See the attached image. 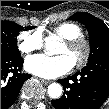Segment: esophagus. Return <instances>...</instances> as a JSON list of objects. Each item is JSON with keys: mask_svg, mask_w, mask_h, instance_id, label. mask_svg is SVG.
<instances>
[{"mask_svg": "<svg viewBox=\"0 0 109 109\" xmlns=\"http://www.w3.org/2000/svg\"><path fill=\"white\" fill-rule=\"evenodd\" d=\"M41 82L44 84V85H48L51 83V81H48V80H41Z\"/></svg>", "mask_w": 109, "mask_h": 109, "instance_id": "obj_1", "label": "esophagus"}]
</instances>
